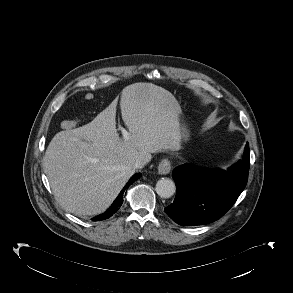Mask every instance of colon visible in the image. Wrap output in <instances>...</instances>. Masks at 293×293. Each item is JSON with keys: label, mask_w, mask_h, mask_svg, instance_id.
<instances>
[{"label": "colon", "mask_w": 293, "mask_h": 293, "mask_svg": "<svg viewBox=\"0 0 293 293\" xmlns=\"http://www.w3.org/2000/svg\"><path fill=\"white\" fill-rule=\"evenodd\" d=\"M85 99L87 101L93 100L94 99L93 93H91V92L86 93ZM77 124H78V122L76 120H65V121L62 122L61 126H62L63 129H72Z\"/></svg>", "instance_id": "colon-1"}]
</instances>
